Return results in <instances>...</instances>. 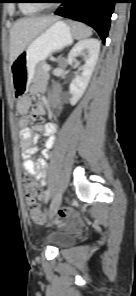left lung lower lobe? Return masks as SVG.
Masks as SVG:
<instances>
[{"label":"left lung lower lobe","mask_w":136,"mask_h":296,"mask_svg":"<svg viewBox=\"0 0 136 296\" xmlns=\"http://www.w3.org/2000/svg\"><path fill=\"white\" fill-rule=\"evenodd\" d=\"M117 0H62L55 14L90 25L105 42Z\"/></svg>","instance_id":"0a47b994"}]
</instances>
